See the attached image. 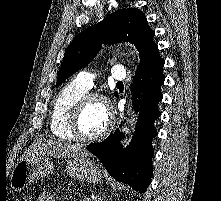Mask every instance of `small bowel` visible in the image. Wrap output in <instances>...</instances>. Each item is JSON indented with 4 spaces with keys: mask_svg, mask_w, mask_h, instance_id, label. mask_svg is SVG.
Segmentation results:
<instances>
[{
    "mask_svg": "<svg viewBox=\"0 0 221 201\" xmlns=\"http://www.w3.org/2000/svg\"><path fill=\"white\" fill-rule=\"evenodd\" d=\"M36 201H55L54 198L48 193H40Z\"/></svg>",
    "mask_w": 221,
    "mask_h": 201,
    "instance_id": "1",
    "label": "small bowel"
}]
</instances>
